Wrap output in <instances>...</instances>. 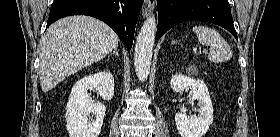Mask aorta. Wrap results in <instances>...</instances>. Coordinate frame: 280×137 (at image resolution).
<instances>
[{
  "mask_svg": "<svg viewBox=\"0 0 280 137\" xmlns=\"http://www.w3.org/2000/svg\"><path fill=\"white\" fill-rule=\"evenodd\" d=\"M157 22L154 15L144 22L135 44L134 66L138 79L145 81L151 68Z\"/></svg>",
  "mask_w": 280,
  "mask_h": 137,
  "instance_id": "762f6f07",
  "label": "aorta"
}]
</instances>
